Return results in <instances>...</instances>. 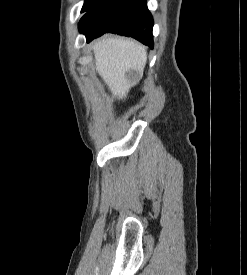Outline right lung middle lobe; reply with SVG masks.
I'll return each mask as SVG.
<instances>
[{"label": "right lung middle lobe", "instance_id": "right-lung-middle-lobe-1", "mask_svg": "<svg viewBox=\"0 0 247 275\" xmlns=\"http://www.w3.org/2000/svg\"><path fill=\"white\" fill-rule=\"evenodd\" d=\"M107 0H85V3L83 5L81 12L90 11L93 8L99 6L100 4L104 3Z\"/></svg>", "mask_w": 247, "mask_h": 275}]
</instances>
